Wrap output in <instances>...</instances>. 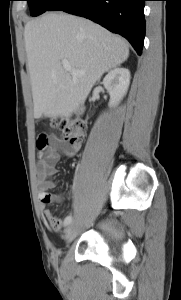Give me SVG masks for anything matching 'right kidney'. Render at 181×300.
I'll list each match as a JSON object with an SVG mask.
<instances>
[{"label": "right kidney", "instance_id": "ca27d5eb", "mask_svg": "<svg viewBox=\"0 0 181 300\" xmlns=\"http://www.w3.org/2000/svg\"><path fill=\"white\" fill-rule=\"evenodd\" d=\"M130 84V72L126 68H115L103 79V85L110 94L109 106H116L126 95Z\"/></svg>", "mask_w": 181, "mask_h": 300}]
</instances>
